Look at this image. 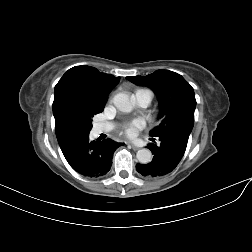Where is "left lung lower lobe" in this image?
<instances>
[{
  "label": "left lung lower lobe",
  "mask_w": 252,
  "mask_h": 252,
  "mask_svg": "<svg viewBox=\"0 0 252 252\" xmlns=\"http://www.w3.org/2000/svg\"><path fill=\"white\" fill-rule=\"evenodd\" d=\"M190 133L171 131L159 136L160 144H149L153 159L147 164H136L137 171L143 176L160 177L172 172L181 161Z\"/></svg>",
  "instance_id": "1"
}]
</instances>
